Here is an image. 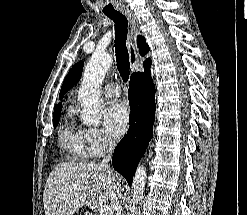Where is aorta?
<instances>
[{
  "label": "aorta",
  "mask_w": 247,
  "mask_h": 215,
  "mask_svg": "<svg viewBox=\"0 0 247 215\" xmlns=\"http://www.w3.org/2000/svg\"><path fill=\"white\" fill-rule=\"evenodd\" d=\"M113 60L109 54L94 53L83 73V80L78 93V99L82 105V119L87 126H98L104 105L100 100L101 85L106 72L110 68ZM146 169L143 164H139L132 182L133 200L140 202L145 190Z\"/></svg>",
  "instance_id": "obj_1"
}]
</instances>
